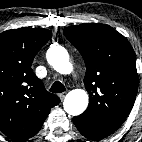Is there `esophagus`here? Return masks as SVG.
I'll return each instance as SVG.
<instances>
[{
  "instance_id": "34e87169",
  "label": "esophagus",
  "mask_w": 142,
  "mask_h": 142,
  "mask_svg": "<svg viewBox=\"0 0 142 142\" xmlns=\"http://www.w3.org/2000/svg\"><path fill=\"white\" fill-rule=\"evenodd\" d=\"M65 96H66V93H65V92L59 94V98H60L61 100H63V99L65 98Z\"/></svg>"
}]
</instances>
